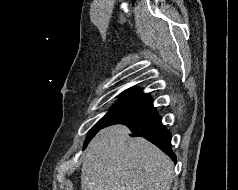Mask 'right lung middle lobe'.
<instances>
[{
  "label": "right lung middle lobe",
  "instance_id": "1",
  "mask_svg": "<svg viewBox=\"0 0 238 190\" xmlns=\"http://www.w3.org/2000/svg\"><path fill=\"white\" fill-rule=\"evenodd\" d=\"M152 108V103L133 98L121 97L111 107L108 113L91 128L87 135L84 148L99 130L113 124H122L123 122L139 117Z\"/></svg>",
  "mask_w": 238,
  "mask_h": 190
}]
</instances>
